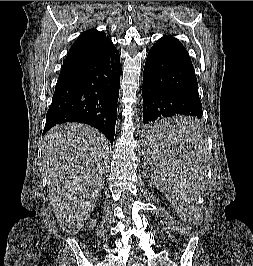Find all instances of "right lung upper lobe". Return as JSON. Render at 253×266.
<instances>
[{"label": "right lung upper lobe", "mask_w": 253, "mask_h": 266, "mask_svg": "<svg viewBox=\"0 0 253 266\" xmlns=\"http://www.w3.org/2000/svg\"><path fill=\"white\" fill-rule=\"evenodd\" d=\"M115 49L105 33L96 29L83 32L72 45L61 68V74L100 59Z\"/></svg>", "instance_id": "cb5924a9"}]
</instances>
